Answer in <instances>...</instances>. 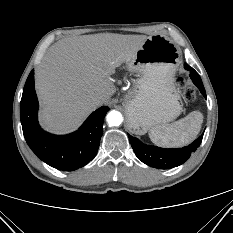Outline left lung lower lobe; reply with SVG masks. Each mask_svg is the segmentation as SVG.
<instances>
[{
	"label": "left lung lower lobe",
	"instance_id": "left-lung-lower-lobe-1",
	"mask_svg": "<svg viewBox=\"0 0 233 233\" xmlns=\"http://www.w3.org/2000/svg\"><path fill=\"white\" fill-rule=\"evenodd\" d=\"M185 69L190 71V77L194 84L200 89L203 96L206 97L205 89L199 74L187 64H185ZM128 136L138 159L148 166L159 169H170L183 164L189 159L190 155L196 151L203 138V136H200L190 145L180 149H163L145 145L137 138L129 134Z\"/></svg>",
	"mask_w": 233,
	"mask_h": 233
}]
</instances>
